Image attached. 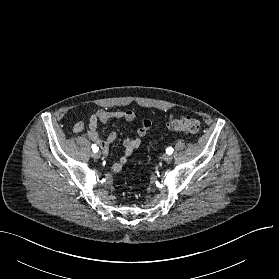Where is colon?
<instances>
[{"label": "colon", "instance_id": "obj_1", "mask_svg": "<svg viewBox=\"0 0 279 279\" xmlns=\"http://www.w3.org/2000/svg\"><path fill=\"white\" fill-rule=\"evenodd\" d=\"M200 126V121L190 116L174 119L168 123V128L171 131L184 132L189 134L197 133L200 130Z\"/></svg>", "mask_w": 279, "mask_h": 279}]
</instances>
